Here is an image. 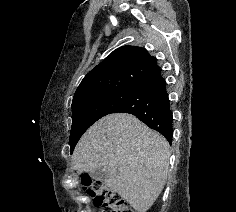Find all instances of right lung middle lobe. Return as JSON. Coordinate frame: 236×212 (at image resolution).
Segmentation results:
<instances>
[{"label":"right lung middle lobe","instance_id":"dd1d6c3e","mask_svg":"<svg viewBox=\"0 0 236 212\" xmlns=\"http://www.w3.org/2000/svg\"><path fill=\"white\" fill-rule=\"evenodd\" d=\"M131 91L132 88L118 89L73 101V121L70 132L71 152L82 134L98 119L113 113L127 99Z\"/></svg>","mask_w":236,"mask_h":212}]
</instances>
